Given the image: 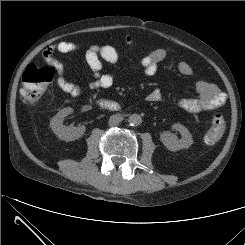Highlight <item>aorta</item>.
<instances>
[{
    "label": "aorta",
    "mask_w": 245,
    "mask_h": 245,
    "mask_svg": "<svg viewBox=\"0 0 245 245\" xmlns=\"http://www.w3.org/2000/svg\"><path fill=\"white\" fill-rule=\"evenodd\" d=\"M128 122L131 126H138L142 123V118L138 114H131L128 117Z\"/></svg>",
    "instance_id": "762f6f07"
}]
</instances>
